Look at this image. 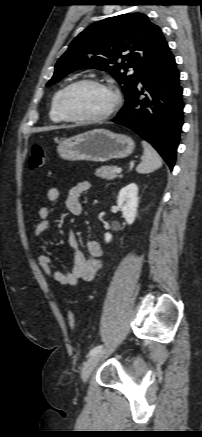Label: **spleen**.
<instances>
[{
	"label": "spleen",
	"mask_w": 202,
	"mask_h": 437,
	"mask_svg": "<svg viewBox=\"0 0 202 437\" xmlns=\"http://www.w3.org/2000/svg\"><path fill=\"white\" fill-rule=\"evenodd\" d=\"M144 148L141 163L136 167V171L140 174L151 173L162 166V159L157 151L146 141H142Z\"/></svg>",
	"instance_id": "3e777b00"
}]
</instances>
